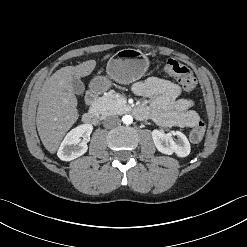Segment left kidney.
Here are the masks:
<instances>
[{"mask_svg": "<svg viewBox=\"0 0 247 247\" xmlns=\"http://www.w3.org/2000/svg\"><path fill=\"white\" fill-rule=\"evenodd\" d=\"M174 136L177 139H174ZM152 139L157 150L163 154H176L178 157H186L191 151L187 137L180 131L165 133L162 129L152 131Z\"/></svg>", "mask_w": 247, "mask_h": 247, "instance_id": "left-kidney-1", "label": "left kidney"}]
</instances>
